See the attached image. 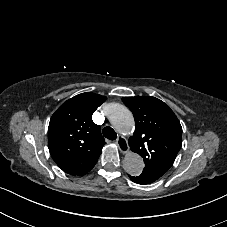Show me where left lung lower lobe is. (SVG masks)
<instances>
[{"label": "left lung lower lobe", "instance_id": "1", "mask_svg": "<svg viewBox=\"0 0 227 227\" xmlns=\"http://www.w3.org/2000/svg\"><path fill=\"white\" fill-rule=\"evenodd\" d=\"M129 177L133 182H135L137 184H150V183L156 181V179H154L148 175H144V174H141L136 177L129 175Z\"/></svg>", "mask_w": 227, "mask_h": 227}]
</instances>
